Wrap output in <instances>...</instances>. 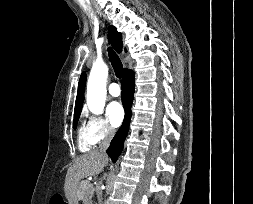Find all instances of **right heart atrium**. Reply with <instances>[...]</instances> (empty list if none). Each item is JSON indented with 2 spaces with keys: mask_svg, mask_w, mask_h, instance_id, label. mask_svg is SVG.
<instances>
[{
  "mask_svg": "<svg viewBox=\"0 0 253 204\" xmlns=\"http://www.w3.org/2000/svg\"><path fill=\"white\" fill-rule=\"evenodd\" d=\"M85 125L93 145L103 143L114 135L112 126L100 116L87 115Z\"/></svg>",
  "mask_w": 253,
  "mask_h": 204,
  "instance_id": "1",
  "label": "right heart atrium"
}]
</instances>
